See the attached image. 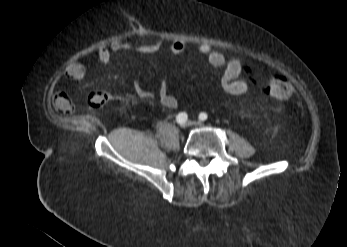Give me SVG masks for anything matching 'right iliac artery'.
<instances>
[{
  "mask_svg": "<svg viewBox=\"0 0 347 247\" xmlns=\"http://www.w3.org/2000/svg\"><path fill=\"white\" fill-rule=\"evenodd\" d=\"M188 120V115L185 112H181L176 116V121L181 125Z\"/></svg>",
  "mask_w": 347,
  "mask_h": 247,
  "instance_id": "1",
  "label": "right iliac artery"
}]
</instances>
